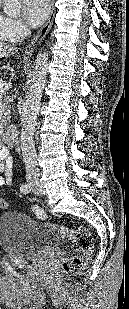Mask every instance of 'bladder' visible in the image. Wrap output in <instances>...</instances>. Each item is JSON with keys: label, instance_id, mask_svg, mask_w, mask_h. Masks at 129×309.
Wrapping results in <instances>:
<instances>
[{"label": "bladder", "instance_id": "bladder-1", "mask_svg": "<svg viewBox=\"0 0 129 309\" xmlns=\"http://www.w3.org/2000/svg\"><path fill=\"white\" fill-rule=\"evenodd\" d=\"M57 246V234L50 225L22 212L0 216V247L5 254L31 259L54 251Z\"/></svg>", "mask_w": 129, "mask_h": 309}]
</instances>
